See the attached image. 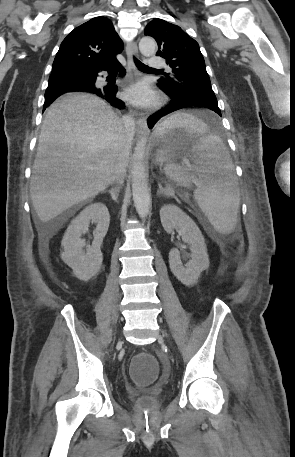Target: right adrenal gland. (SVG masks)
Here are the masks:
<instances>
[{
  "label": "right adrenal gland",
  "instance_id": "obj_1",
  "mask_svg": "<svg viewBox=\"0 0 295 457\" xmlns=\"http://www.w3.org/2000/svg\"><path fill=\"white\" fill-rule=\"evenodd\" d=\"M119 191H120V187H119V185H116L111 190H108L106 192H108L111 195L112 200L117 202Z\"/></svg>",
  "mask_w": 295,
  "mask_h": 457
}]
</instances>
